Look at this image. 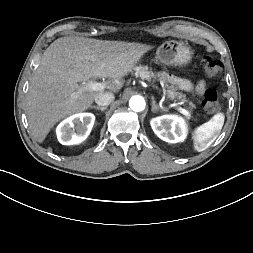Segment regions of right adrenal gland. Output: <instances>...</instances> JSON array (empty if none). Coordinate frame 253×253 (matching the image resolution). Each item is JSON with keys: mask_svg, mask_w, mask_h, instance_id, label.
Returning <instances> with one entry per match:
<instances>
[{"mask_svg": "<svg viewBox=\"0 0 253 253\" xmlns=\"http://www.w3.org/2000/svg\"><path fill=\"white\" fill-rule=\"evenodd\" d=\"M90 108L100 110V111H105L107 109V106L105 107H100V106H91Z\"/></svg>", "mask_w": 253, "mask_h": 253, "instance_id": "1", "label": "right adrenal gland"}]
</instances>
